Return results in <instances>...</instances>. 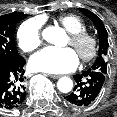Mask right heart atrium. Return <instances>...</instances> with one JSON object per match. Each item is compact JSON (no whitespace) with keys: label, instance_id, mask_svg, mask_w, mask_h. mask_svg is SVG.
I'll return each mask as SVG.
<instances>
[{"label":"right heart atrium","instance_id":"obj_1","mask_svg":"<svg viewBox=\"0 0 117 117\" xmlns=\"http://www.w3.org/2000/svg\"><path fill=\"white\" fill-rule=\"evenodd\" d=\"M19 47L25 52L36 50L42 43V20L31 18L24 21L17 31Z\"/></svg>","mask_w":117,"mask_h":117}]
</instances>
